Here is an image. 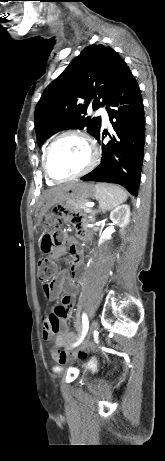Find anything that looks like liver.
Masks as SVG:
<instances>
[{"mask_svg": "<svg viewBox=\"0 0 165 461\" xmlns=\"http://www.w3.org/2000/svg\"><path fill=\"white\" fill-rule=\"evenodd\" d=\"M58 188L52 189L49 193L56 191Z\"/></svg>", "mask_w": 165, "mask_h": 461, "instance_id": "obj_1", "label": "liver"}]
</instances>
